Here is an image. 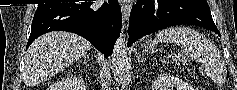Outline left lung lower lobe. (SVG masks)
I'll list each match as a JSON object with an SVG mask.
<instances>
[{
	"label": "left lung lower lobe",
	"instance_id": "left-lung-lower-lobe-1",
	"mask_svg": "<svg viewBox=\"0 0 237 90\" xmlns=\"http://www.w3.org/2000/svg\"><path fill=\"white\" fill-rule=\"evenodd\" d=\"M188 24L207 28L220 36L208 4L191 0H138L129 18L127 45L159 29Z\"/></svg>",
	"mask_w": 237,
	"mask_h": 90
}]
</instances>
